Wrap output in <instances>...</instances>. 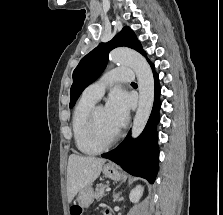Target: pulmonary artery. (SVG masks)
Returning a JSON list of instances; mask_svg holds the SVG:
<instances>
[{"mask_svg":"<svg viewBox=\"0 0 223 215\" xmlns=\"http://www.w3.org/2000/svg\"><path fill=\"white\" fill-rule=\"evenodd\" d=\"M107 73L97 82L88 86L83 95L98 101L108 85L114 82L131 83V78H133V69H127L126 65H117L116 69H108Z\"/></svg>","mask_w":223,"mask_h":215,"instance_id":"pulmonary-artery-1","label":"pulmonary artery"}]
</instances>
